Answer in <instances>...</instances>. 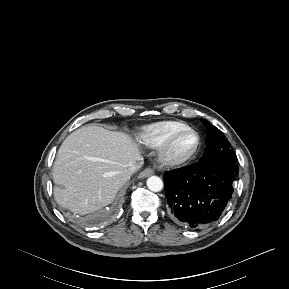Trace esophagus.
Returning a JSON list of instances; mask_svg holds the SVG:
<instances>
[{
    "label": "esophagus",
    "mask_w": 289,
    "mask_h": 289,
    "mask_svg": "<svg viewBox=\"0 0 289 289\" xmlns=\"http://www.w3.org/2000/svg\"><path fill=\"white\" fill-rule=\"evenodd\" d=\"M154 174V171L153 169L151 168H146L145 170H143L140 174H139V177L140 178H146V177H149L151 175Z\"/></svg>",
    "instance_id": "34e87169"
}]
</instances>
